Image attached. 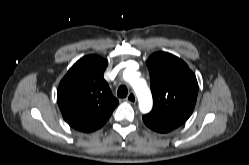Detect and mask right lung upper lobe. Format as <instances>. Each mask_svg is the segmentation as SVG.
<instances>
[{"mask_svg":"<svg viewBox=\"0 0 249 165\" xmlns=\"http://www.w3.org/2000/svg\"><path fill=\"white\" fill-rule=\"evenodd\" d=\"M108 61L97 55L78 60L61 80L57 102L66 122L81 132L102 127L118 104L103 78Z\"/></svg>","mask_w":249,"mask_h":165,"instance_id":"1","label":"right lung upper lobe"}]
</instances>
